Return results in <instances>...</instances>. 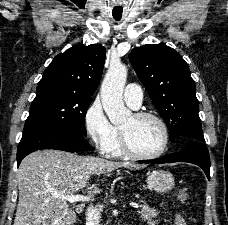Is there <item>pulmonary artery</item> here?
I'll return each instance as SVG.
<instances>
[{
  "label": "pulmonary artery",
  "mask_w": 228,
  "mask_h": 225,
  "mask_svg": "<svg viewBox=\"0 0 228 225\" xmlns=\"http://www.w3.org/2000/svg\"><path fill=\"white\" fill-rule=\"evenodd\" d=\"M143 90L141 85H126L124 90V101L132 109H138L143 101Z\"/></svg>",
  "instance_id": "obj_1"
}]
</instances>
